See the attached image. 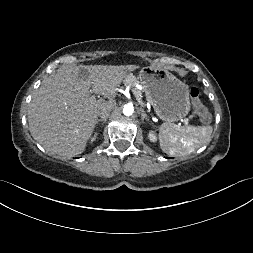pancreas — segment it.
<instances>
[{"label": "pancreas", "instance_id": "1", "mask_svg": "<svg viewBox=\"0 0 253 253\" xmlns=\"http://www.w3.org/2000/svg\"><path fill=\"white\" fill-rule=\"evenodd\" d=\"M137 83V80L132 78V77H127L125 80H124V84L125 85H133V84H136ZM137 93L140 95L141 97V92L136 88V87H133Z\"/></svg>", "mask_w": 253, "mask_h": 253}]
</instances>
